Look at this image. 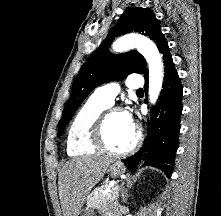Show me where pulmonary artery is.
<instances>
[{
  "label": "pulmonary artery",
  "mask_w": 221,
  "mask_h": 216,
  "mask_svg": "<svg viewBox=\"0 0 221 216\" xmlns=\"http://www.w3.org/2000/svg\"><path fill=\"white\" fill-rule=\"evenodd\" d=\"M126 85L130 89L139 90L143 86V79L139 76L130 77L126 80ZM119 92L120 86L118 83L112 82L97 88L93 92L92 98L107 106H111Z\"/></svg>",
  "instance_id": "e3ab8cb5"
}]
</instances>
